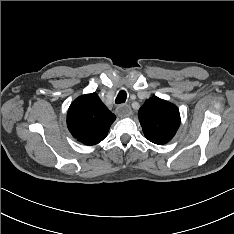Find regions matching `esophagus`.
<instances>
[{"label":"esophagus","mask_w":234,"mask_h":234,"mask_svg":"<svg viewBox=\"0 0 234 234\" xmlns=\"http://www.w3.org/2000/svg\"><path fill=\"white\" fill-rule=\"evenodd\" d=\"M116 112L118 113V115L122 116V117H128L132 114V109L129 105L125 104V105H119L116 108Z\"/></svg>","instance_id":"34e87169"}]
</instances>
